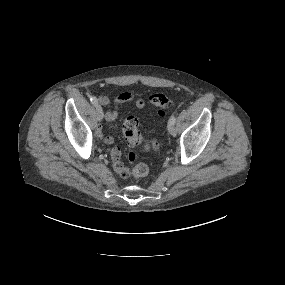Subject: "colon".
Wrapping results in <instances>:
<instances>
[{
	"label": "colon",
	"instance_id": "1",
	"mask_svg": "<svg viewBox=\"0 0 285 285\" xmlns=\"http://www.w3.org/2000/svg\"><path fill=\"white\" fill-rule=\"evenodd\" d=\"M150 102L158 109L159 112H164L174 104L173 98L164 93H155L151 95ZM122 132L127 140L134 146L143 147L146 150L158 151L160 142L157 139L147 140L144 138L140 128L139 120L135 116H128L122 125ZM128 159L131 163L136 161V155L129 153ZM149 173V168L146 164L139 163L132 168V175L135 177H145Z\"/></svg>",
	"mask_w": 285,
	"mask_h": 285
}]
</instances>
